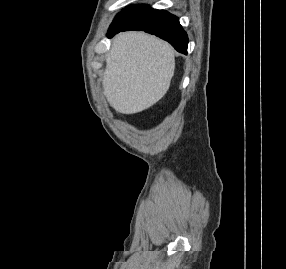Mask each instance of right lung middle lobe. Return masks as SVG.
I'll return each mask as SVG.
<instances>
[{"instance_id":"right-lung-middle-lobe-1","label":"right lung middle lobe","mask_w":286,"mask_h":269,"mask_svg":"<svg viewBox=\"0 0 286 269\" xmlns=\"http://www.w3.org/2000/svg\"><path fill=\"white\" fill-rule=\"evenodd\" d=\"M152 8L148 5H135L130 6L123 11H121L114 19L112 24L110 25L109 29H118L122 28L136 18L140 17L141 15L145 14L146 12L150 11Z\"/></svg>"}]
</instances>
